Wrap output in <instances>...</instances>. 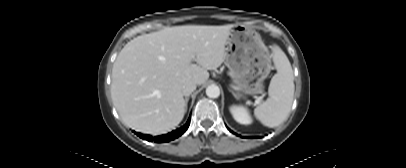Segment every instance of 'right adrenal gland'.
<instances>
[{
    "instance_id": "1",
    "label": "right adrenal gland",
    "mask_w": 406,
    "mask_h": 168,
    "mask_svg": "<svg viewBox=\"0 0 406 168\" xmlns=\"http://www.w3.org/2000/svg\"><path fill=\"white\" fill-rule=\"evenodd\" d=\"M188 101H189V96H188V97H185V110H186V111H187Z\"/></svg>"
}]
</instances>
